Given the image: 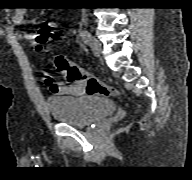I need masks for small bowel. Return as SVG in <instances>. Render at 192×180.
Returning <instances> with one entry per match:
<instances>
[{
	"label": "small bowel",
	"instance_id": "obj_1",
	"mask_svg": "<svg viewBox=\"0 0 192 180\" xmlns=\"http://www.w3.org/2000/svg\"><path fill=\"white\" fill-rule=\"evenodd\" d=\"M12 22L15 25H21L24 22V12L22 10H16L12 16ZM23 38L30 39L32 38V34L26 33L23 35ZM45 82L54 95L80 96L84 93L83 88L78 85H68L64 82H54L50 79H46Z\"/></svg>",
	"mask_w": 192,
	"mask_h": 180
}]
</instances>
